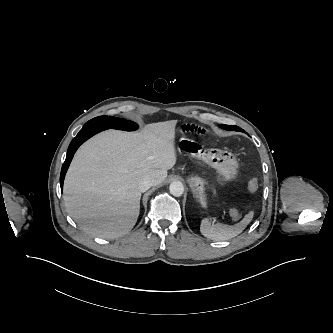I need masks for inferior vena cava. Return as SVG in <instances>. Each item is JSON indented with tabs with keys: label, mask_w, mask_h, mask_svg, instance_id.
I'll list each match as a JSON object with an SVG mask.
<instances>
[{
	"label": "inferior vena cava",
	"mask_w": 333,
	"mask_h": 333,
	"mask_svg": "<svg viewBox=\"0 0 333 333\" xmlns=\"http://www.w3.org/2000/svg\"><path fill=\"white\" fill-rule=\"evenodd\" d=\"M152 186H153V180L150 178H144L139 182L138 188L141 192H145Z\"/></svg>",
	"instance_id": "1"
}]
</instances>
